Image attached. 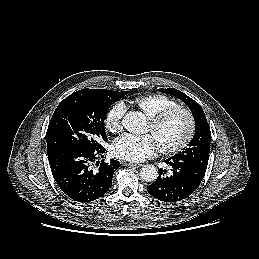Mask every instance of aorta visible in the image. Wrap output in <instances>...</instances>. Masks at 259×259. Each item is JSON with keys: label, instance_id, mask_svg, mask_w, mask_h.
<instances>
[{"label": "aorta", "instance_id": "762f6f07", "mask_svg": "<svg viewBox=\"0 0 259 259\" xmlns=\"http://www.w3.org/2000/svg\"><path fill=\"white\" fill-rule=\"evenodd\" d=\"M122 125L130 133L140 135L145 132L147 123L142 113L130 111L122 119ZM140 177L145 182H153L158 177V171L153 165L147 164L140 169Z\"/></svg>", "mask_w": 259, "mask_h": 259}]
</instances>
